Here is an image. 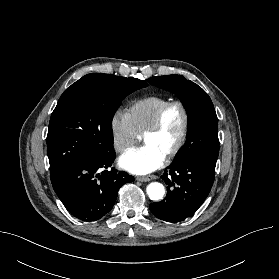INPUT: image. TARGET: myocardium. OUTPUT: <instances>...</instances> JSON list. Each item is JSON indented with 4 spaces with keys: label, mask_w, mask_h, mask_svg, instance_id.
<instances>
[{
    "label": "myocardium",
    "mask_w": 279,
    "mask_h": 279,
    "mask_svg": "<svg viewBox=\"0 0 279 279\" xmlns=\"http://www.w3.org/2000/svg\"><path fill=\"white\" fill-rule=\"evenodd\" d=\"M173 106H178L180 108L182 115H183V126H182L181 134H180V137H179L177 143L171 149V151L165 156L167 159H171V158L175 157L180 152V150L182 149V147L185 144V141H186V138L188 135L189 113H188V110H187V107L185 106V104L180 100H171V101H168L167 103H165L158 110L152 124L143 133V139H145L148 135L157 132L163 124L165 114Z\"/></svg>",
    "instance_id": "myocardium-1"
}]
</instances>
